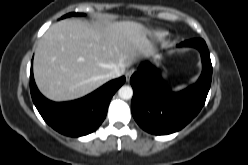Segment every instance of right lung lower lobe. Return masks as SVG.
Listing matches in <instances>:
<instances>
[{
  "label": "right lung lower lobe",
  "mask_w": 248,
  "mask_h": 165,
  "mask_svg": "<svg viewBox=\"0 0 248 165\" xmlns=\"http://www.w3.org/2000/svg\"><path fill=\"white\" fill-rule=\"evenodd\" d=\"M125 77L112 80L93 93L70 102L56 103L46 99L37 89L31 66L30 91L42 118L61 134L79 137L95 131L106 117L109 102Z\"/></svg>",
  "instance_id": "right-lung-lower-lobe-1"
}]
</instances>
